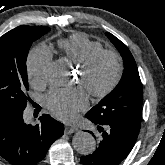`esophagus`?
I'll use <instances>...</instances> for the list:
<instances>
[{"instance_id": "obj_1", "label": "esophagus", "mask_w": 165, "mask_h": 165, "mask_svg": "<svg viewBox=\"0 0 165 165\" xmlns=\"http://www.w3.org/2000/svg\"><path fill=\"white\" fill-rule=\"evenodd\" d=\"M78 129H77V127H75V126H72V125H66L65 126V132L67 133V134H71V133H74V132H76Z\"/></svg>"}]
</instances>
